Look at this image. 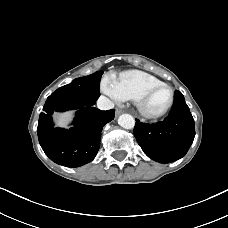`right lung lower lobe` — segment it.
Returning a JSON list of instances; mask_svg holds the SVG:
<instances>
[{"label": "right lung lower lobe", "instance_id": "1", "mask_svg": "<svg viewBox=\"0 0 228 228\" xmlns=\"http://www.w3.org/2000/svg\"><path fill=\"white\" fill-rule=\"evenodd\" d=\"M94 105V104H93ZM62 96L50 95L40 113L37 134L45 154L55 163L78 167L89 163L100 147L102 127L114 119L115 110L101 111ZM77 110L70 129L55 128V111Z\"/></svg>", "mask_w": 228, "mask_h": 228}]
</instances>
